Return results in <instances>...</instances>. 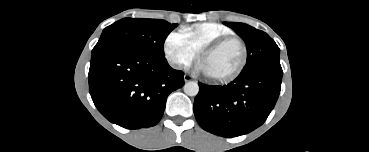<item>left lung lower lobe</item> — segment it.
Segmentation results:
<instances>
[{
	"label": "left lung lower lobe",
	"mask_w": 369,
	"mask_h": 152,
	"mask_svg": "<svg viewBox=\"0 0 369 152\" xmlns=\"http://www.w3.org/2000/svg\"><path fill=\"white\" fill-rule=\"evenodd\" d=\"M283 71L264 70L238 76L231 83L199 84L194 101L198 124L206 131L236 137L261 126L275 106Z\"/></svg>",
	"instance_id": "0a47b994"
}]
</instances>
